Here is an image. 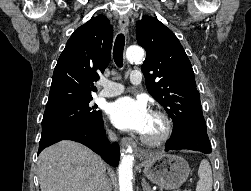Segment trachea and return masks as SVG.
I'll list each match as a JSON object with an SVG mask.
<instances>
[{"label": "trachea", "instance_id": "trachea-1", "mask_svg": "<svg viewBox=\"0 0 251 191\" xmlns=\"http://www.w3.org/2000/svg\"><path fill=\"white\" fill-rule=\"evenodd\" d=\"M124 45H125V36L122 33H120L115 40L113 49V58L118 68H122L123 66Z\"/></svg>", "mask_w": 251, "mask_h": 191}]
</instances>
